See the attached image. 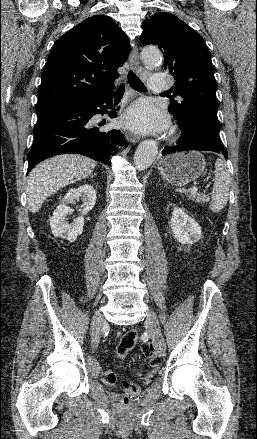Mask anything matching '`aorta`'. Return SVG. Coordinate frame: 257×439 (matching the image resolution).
<instances>
[{"label":"aorta","mask_w":257,"mask_h":439,"mask_svg":"<svg viewBox=\"0 0 257 439\" xmlns=\"http://www.w3.org/2000/svg\"><path fill=\"white\" fill-rule=\"evenodd\" d=\"M141 57L147 68H154L160 65L162 54L156 47H145L141 52ZM158 153L156 142L145 140L141 142L135 151L134 163L140 169L148 168L155 160Z\"/></svg>","instance_id":"762f6f07"}]
</instances>
